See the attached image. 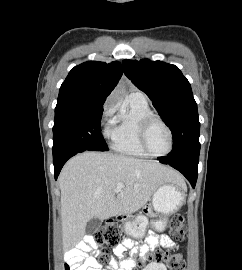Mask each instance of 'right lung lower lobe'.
Segmentation results:
<instances>
[{
    "label": "right lung lower lobe",
    "mask_w": 242,
    "mask_h": 270,
    "mask_svg": "<svg viewBox=\"0 0 242 270\" xmlns=\"http://www.w3.org/2000/svg\"><path fill=\"white\" fill-rule=\"evenodd\" d=\"M79 152H83V151H76V152L68 153V154H65V155L59 157L58 159L53 160L54 168H55V179H57V177H58L63 165L65 164V162L69 158H71L72 156H74L75 154H77Z\"/></svg>",
    "instance_id": "obj_1"
}]
</instances>
